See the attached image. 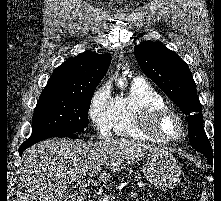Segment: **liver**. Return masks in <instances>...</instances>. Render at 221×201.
Here are the masks:
<instances>
[{
	"label": "liver",
	"mask_w": 221,
	"mask_h": 201,
	"mask_svg": "<svg viewBox=\"0 0 221 201\" xmlns=\"http://www.w3.org/2000/svg\"><path fill=\"white\" fill-rule=\"evenodd\" d=\"M165 151L124 138L99 142L58 138L42 141L22 154L16 201H70L67 188L74 181L101 172L104 165L118 171L149 154ZM106 183L110 174L101 172Z\"/></svg>",
	"instance_id": "1"
}]
</instances>
